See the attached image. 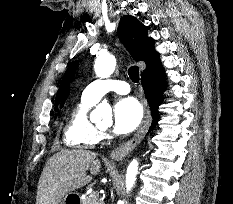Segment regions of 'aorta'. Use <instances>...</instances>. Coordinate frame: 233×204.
Here are the masks:
<instances>
[{
    "label": "aorta",
    "mask_w": 233,
    "mask_h": 204,
    "mask_svg": "<svg viewBox=\"0 0 233 204\" xmlns=\"http://www.w3.org/2000/svg\"><path fill=\"white\" fill-rule=\"evenodd\" d=\"M116 67V59L112 55H99L94 64V70L99 78H107L109 77L115 70ZM111 120L112 119V109L109 104L101 103L96 106V108L91 113L92 121H100L101 118ZM138 161L133 159L126 172V189L127 192L132 189L136 181V175L138 172ZM121 204H124L122 201Z\"/></svg>",
    "instance_id": "1"
}]
</instances>
